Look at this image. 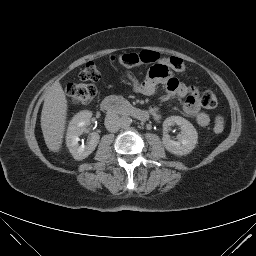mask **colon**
<instances>
[{"label":"colon","instance_id":"obj_1","mask_svg":"<svg viewBox=\"0 0 256 256\" xmlns=\"http://www.w3.org/2000/svg\"><path fill=\"white\" fill-rule=\"evenodd\" d=\"M159 58L160 56L157 52L145 50L140 53H126L118 57H113L112 61L124 66H135L144 63H154ZM161 62H165L171 69L178 72L185 71L186 69L184 62L177 57L163 59ZM99 78L100 71L94 62H88L80 72V79L84 82H95ZM66 94L74 103L88 104L95 98L97 89L93 84L70 83L66 87ZM200 103L207 109H214L218 101L213 92L206 91L201 95ZM213 128L216 133L224 131L225 119L223 116H216Z\"/></svg>","mask_w":256,"mask_h":256}]
</instances>
